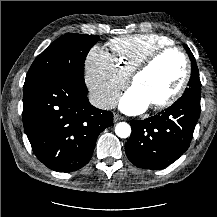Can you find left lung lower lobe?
I'll return each mask as SVG.
<instances>
[{
    "label": "left lung lower lobe",
    "instance_id": "obj_1",
    "mask_svg": "<svg viewBox=\"0 0 217 217\" xmlns=\"http://www.w3.org/2000/svg\"><path fill=\"white\" fill-rule=\"evenodd\" d=\"M200 99L183 95L172 106L145 120H131L125 145L128 159L143 169H160L189 147L200 115Z\"/></svg>",
    "mask_w": 217,
    "mask_h": 217
}]
</instances>
